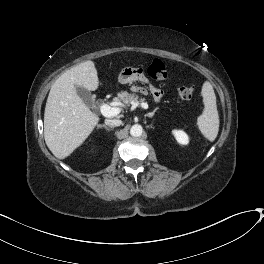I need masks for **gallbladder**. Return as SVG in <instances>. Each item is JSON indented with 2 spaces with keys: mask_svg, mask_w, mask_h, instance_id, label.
I'll return each mask as SVG.
<instances>
[{
  "mask_svg": "<svg viewBox=\"0 0 264 264\" xmlns=\"http://www.w3.org/2000/svg\"><path fill=\"white\" fill-rule=\"evenodd\" d=\"M76 92L86 105L92 106L94 98L88 90L83 87L76 86Z\"/></svg>",
  "mask_w": 264,
  "mask_h": 264,
  "instance_id": "obj_1",
  "label": "gallbladder"
}]
</instances>
